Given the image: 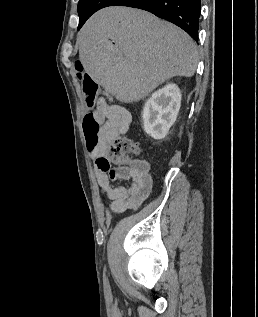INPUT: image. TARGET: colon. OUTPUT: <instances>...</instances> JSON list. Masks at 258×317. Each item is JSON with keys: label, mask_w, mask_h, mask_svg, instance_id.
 <instances>
[{"label": "colon", "mask_w": 258, "mask_h": 317, "mask_svg": "<svg viewBox=\"0 0 258 317\" xmlns=\"http://www.w3.org/2000/svg\"><path fill=\"white\" fill-rule=\"evenodd\" d=\"M77 77L82 83L83 94L87 106L90 108L82 121L86 145L94 150L101 146L105 139V120L103 114L96 110L98 97L97 83L83 70L81 63L75 64ZM109 157L117 162H125L129 155L138 154L140 148L136 142L127 137H116L108 144Z\"/></svg>", "instance_id": "5ec220e1"}]
</instances>
